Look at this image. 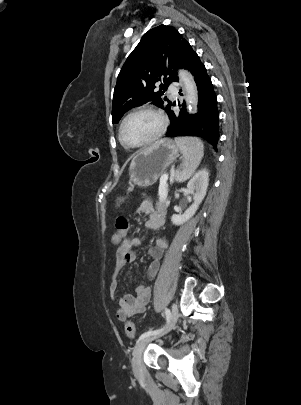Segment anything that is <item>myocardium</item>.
<instances>
[{"label":"myocardium","mask_w":301,"mask_h":405,"mask_svg":"<svg viewBox=\"0 0 301 405\" xmlns=\"http://www.w3.org/2000/svg\"><path fill=\"white\" fill-rule=\"evenodd\" d=\"M143 112H148V113L154 114L160 121L159 128H158L157 132L151 138H149L148 140H146V141H144L142 143H139V144H130V143L126 142L124 137H123V128H124L127 120L130 117H132L135 114L143 113ZM167 125H168L167 117L165 116V114L161 110H159V109H157L155 107H152V106L139 107V108H136V109L132 110L131 112H129L123 118V120H122V122L120 124V127H119V133H118L119 141L123 146H125L126 148H129V149L142 148V147L148 146V145L152 144L153 142H155L156 140H158L164 134V132H165V130L167 128Z\"/></svg>","instance_id":"f54148a6"}]
</instances>
